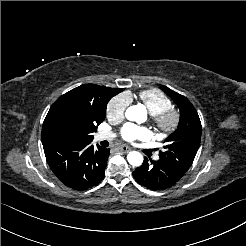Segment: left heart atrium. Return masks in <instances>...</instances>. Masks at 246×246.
Wrapping results in <instances>:
<instances>
[{
  "mask_svg": "<svg viewBox=\"0 0 246 246\" xmlns=\"http://www.w3.org/2000/svg\"><path fill=\"white\" fill-rule=\"evenodd\" d=\"M121 134L125 140L130 142L145 140L151 136V132L149 129L134 125L132 123L126 124L122 128Z\"/></svg>",
  "mask_w": 246,
  "mask_h": 246,
  "instance_id": "left-heart-atrium-1",
  "label": "left heart atrium"
}]
</instances>
